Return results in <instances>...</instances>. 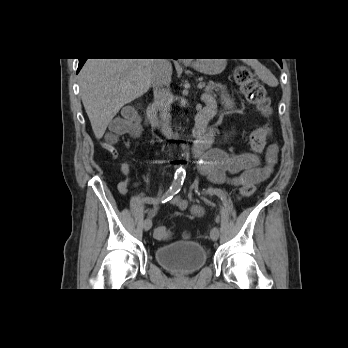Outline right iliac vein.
<instances>
[{
    "mask_svg": "<svg viewBox=\"0 0 348 348\" xmlns=\"http://www.w3.org/2000/svg\"><path fill=\"white\" fill-rule=\"evenodd\" d=\"M152 227V220L151 219H146L143 223V228L145 231L150 230V228Z\"/></svg>",
    "mask_w": 348,
    "mask_h": 348,
    "instance_id": "right-iliac-vein-1",
    "label": "right iliac vein"
}]
</instances>
